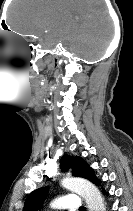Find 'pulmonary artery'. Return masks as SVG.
Returning <instances> with one entry per match:
<instances>
[{
  "label": "pulmonary artery",
  "mask_w": 133,
  "mask_h": 211,
  "mask_svg": "<svg viewBox=\"0 0 133 211\" xmlns=\"http://www.w3.org/2000/svg\"><path fill=\"white\" fill-rule=\"evenodd\" d=\"M80 206V197L76 194L62 195L55 202V207L67 209L69 211H76L80 208Z\"/></svg>",
  "instance_id": "1"
}]
</instances>
